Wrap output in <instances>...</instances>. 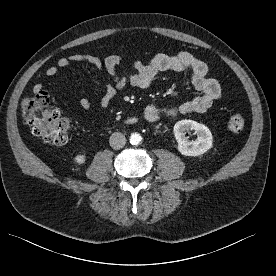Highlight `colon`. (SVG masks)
I'll return each instance as SVG.
<instances>
[{"label":"colon","mask_w":276,"mask_h":276,"mask_svg":"<svg viewBox=\"0 0 276 276\" xmlns=\"http://www.w3.org/2000/svg\"><path fill=\"white\" fill-rule=\"evenodd\" d=\"M21 113L32 133L45 142L63 145L68 141L72 123L63 118L60 111L51 105L50 95L46 91L34 93L21 102ZM245 126L243 115L232 114L228 120V128L239 133Z\"/></svg>","instance_id":"obj_1"}]
</instances>
